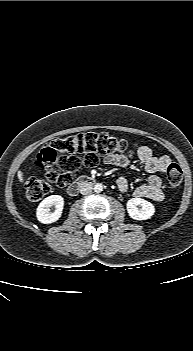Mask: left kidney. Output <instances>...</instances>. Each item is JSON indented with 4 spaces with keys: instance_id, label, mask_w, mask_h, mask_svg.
Returning a JSON list of instances; mask_svg holds the SVG:
<instances>
[{
    "instance_id": "obj_1",
    "label": "left kidney",
    "mask_w": 193,
    "mask_h": 351,
    "mask_svg": "<svg viewBox=\"0 0 193 351\" xmlns=\"http://www.w3.org/2000/svg\"><path fill=\"white\" fill-rule=\"evenodd\" d=\"M126 207L129 216L134 220H146L155 213L153 204L142 198H131Z\"/></svg>"
}]
</instances>
